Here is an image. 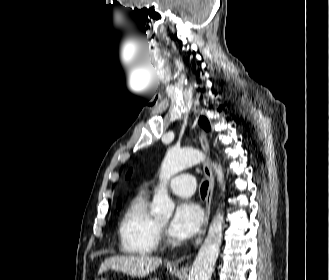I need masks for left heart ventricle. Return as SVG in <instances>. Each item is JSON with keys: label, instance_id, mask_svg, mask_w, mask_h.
Segmentation results:
<instances>
[{"label": "left heart ventricle", "instance_id": "1", "mask_svg": "<svg viewBox=\"0 0 329 280\" xmlns=\"http://www.w3.org/2000/svg\"><path fill=\"white\" fill-rule=\"evenodd\" d=\"M160 223L165 224L166 220H161Z\"/></svg>", "mask_w": 329, "mask_h": 280}]
</instances>
